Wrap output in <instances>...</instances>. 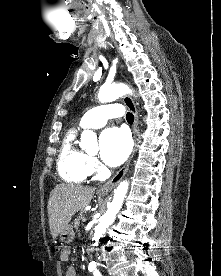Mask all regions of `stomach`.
Masks as SVG:
<instances>
[{
  "instance_id": "1",
  "label": "stomach",
  "mask_w": 221,
  "mask_h": 276,
  "mask_svg": "<svg viewBox=\"0 0 221 276\" xmlns=\"http://www.w3.org/2000/svg\"><path fill=\"white\" fill-rule=\"evenodd\" d=\"M75 233L73 227L69 224L65 227L64 230L60 232V240L63 243L69 244L74 239Z\"/></svg>"
}]
</instances>
